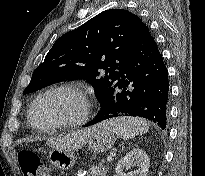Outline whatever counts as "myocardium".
<instances>
[{
	"label": "myocardium",
	"mask_w": 205,
	"mask_h": 176,
	"mask_svg": "<svg viewBox=\"0 0 205 176\" xmlns=\"http://www.w3.org/2000/svg\"><path fill=\"white\" fill-rule=\"evenodd\" d=\"M63 92L74 96L81 105V112L80 114L73 119L64 120L62 122H58L48 126H39L33 120V114L37 104L44 99L45 97L49 96L50 94ZM28 121L32 128L38 131H52L61 128H76L80 127L85 124L90 118V101L87 95L78 87L71 85V84H58L51 86L41 92L32 102L29 111H28Z\"/></svg>",
	"instance_id": "myocardium-1"
}]
</instances>
